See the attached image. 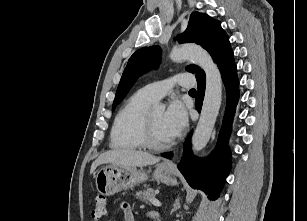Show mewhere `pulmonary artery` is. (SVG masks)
<instances>
[{
  "mask_svg": "<svg viewBox=\"0 0 307 221\" xmlns=\"http://www.w3.org/2000/svg\"><path fill=\"white\" fill-rule=\"evenodd\" d=\"M176 84L185 88L192 87L194 84L193 75L189 73H179L169 79L147 84L140 90L144 95L155 102L168 94Z\"/></svg>",
  "mask_w": 307,
  "mask_h": 221,
  "instance_id": "obj_1",
  "label": "pulmonary artery"
}]
</instances>
